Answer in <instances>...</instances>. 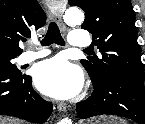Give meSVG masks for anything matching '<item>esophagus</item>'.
<instances>
[{"mask_svg":"<svg viewBox=\"0 0 145 124\" xmlns=\"http://www.w3.org/2000/svg\"><path fill=\"white\" fill-rule=\"evenodd\" d=\"M45 2L48 6L49 17L51 19H53L58 24V26L60 27V29L62 31H65L66 27H65V25L63 23V20H62V15H63L64 9H62L60 7V4H58V3H55V2H52V1H49V0H46ZM54 5L56 7H53ZM57 109H58L59 112L65 113L66 110H67V107H66L65 104H59L57 106Z\"/></svg>","mask_w":145,"mask_h":124,"instance_id":"esophagus-1","label":"esophagus"}]
</instances>
